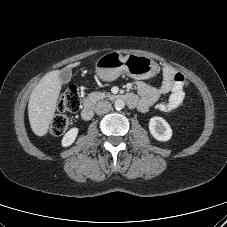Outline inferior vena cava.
Here are the masks:
<instances>
[{"label": "inferior vena cava", "mask_w": 227, "mask_h": 227, "mask_svg": "<svg viewBox=\"0 0 227 227\" xmlns=\"http://www.w3.org/2000/svg\"><path fill=\"white\" fill-rule=\"evenodd\" d=\"M111 103L108 101H100L95 105V113L98 115L106 114L111 110Z\"/></svg>", "instance_id": "inferior-vena-cava-1"}]
</instances>
